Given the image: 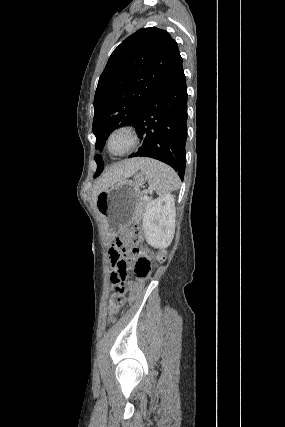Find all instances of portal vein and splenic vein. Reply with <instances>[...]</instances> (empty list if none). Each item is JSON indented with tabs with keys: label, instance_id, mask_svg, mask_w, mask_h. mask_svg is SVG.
Listing matches in <instances>:
<instances>
[{
	"label": "portal vein and splenic vein",
	"instance_id": "18ae733b",
	"mask_svg": "<svg viewBox=\"0 0 285 427\" xmlns=\"http://www.w3.org/2000/svg\"><path fill=\"white\" fill-rule=\"evenodd\" d=\"M147 192H150V193H151L152 191L150 190V191H146V192L144 193V195H143V197H142L144 200H146V199L148 198V197H147Z\"/></svg>",
	"mask_w": 285,
	"mask_h": 427
}]
</instances>
